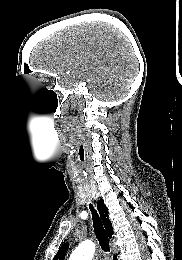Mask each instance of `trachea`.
I'll return each instance as SVG.
<instances>
[{"instance_id": "trachea-1", "label": "trachea", "mask_w": 182, "mask_h": 260, "mask_svg": "<svg viewBox=\"0 0 182 260\" xmlns=\"http://www.w3.org/2000/svg\"><path fill=\"white\" fill-rule=\"evenodd\" d=\"M89 208L92 213L94 231H95L96 238L98 239L99 245L105 253H109L110 252L109 239L104 229V226L102 224V221L92 204L89 205Z\"/></svg>"}]
</instances>
